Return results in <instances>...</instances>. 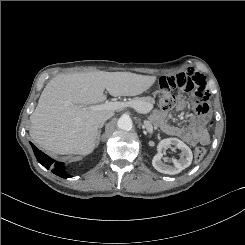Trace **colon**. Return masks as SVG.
Masks as SVG:
<instances>
[{"label": "colon", "mask_w": 245, "mask_h": 245, "mask_svg": "<svg viewBox=\"0 0 245 245\" xmlns=\"http://www.w3.org/2000/svg\"><path fill=\"white\" fill-rule=\"evenodd\" d=\"M159 104L162 109L170 110L176 104V97L169 91H163L159 97ZM206 155V150L203 147H197L194 150V159L196 162H200Z\"/></svg>", "instance_id": "5ec220e1"}]
</instances>
